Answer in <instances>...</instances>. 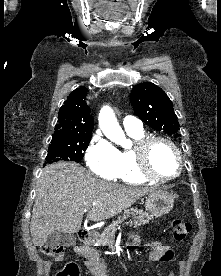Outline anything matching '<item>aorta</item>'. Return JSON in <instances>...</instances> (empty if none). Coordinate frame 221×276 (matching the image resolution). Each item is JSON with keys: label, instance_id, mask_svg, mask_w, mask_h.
I'll return each mask as SVG.
<instances>
[{"label": "aorta", "instance_id": "1", "mask_svg": "<svg viewBox=\"0 0 221 276\" xmlns=\"http://www.w3.org/2000/svg\"><path fill=\"white\" fill-rule=\"evenodd\" d=\"M98 120L101 130L109 140L119 145H125V134L109 106H104L101 109Z\"/></svg>", "mask_w": 221, "mask_h": 276}]
</instances>
